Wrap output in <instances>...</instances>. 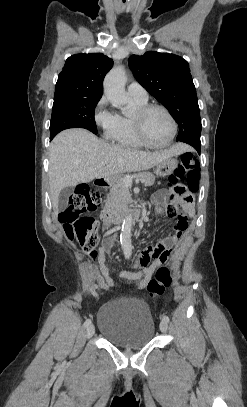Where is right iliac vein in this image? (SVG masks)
<instances>
[{
	"mask_svg": "<svg viewBox=\"0 0 247 407\" xmlns=\"http://www.w3.org/2000/svg\"><path fill=\"white\" fill-rule=\"evenodd\" d=\"M94 333H95V326H94L93 324H90V325L88 326L87 332H86L87 338L92 337V336L94 335Z\"/></svg>",
	"mask_w": 247,
	"mask_h": 407,
	"instance_id": "63e3f726",
	"label": "right iliac vein"
}]
</instances>
